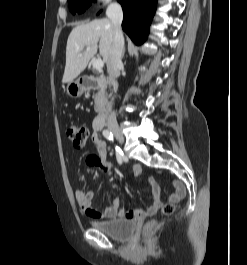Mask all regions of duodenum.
<instances>
[{"label":"duodenum","mask_w":247,"mask_h":265,"mask_svg":"<svg viewBox=\"0 0 247 265\" xmlns=\"http://www.w3.org/2000/svg\"><path fill=\"white\" fill-rule=\"evenodd\" d=\"M99 82L109 83L111 82V78L107 75H104V76H98V77L84 76L81 79V85L85 88L93 87L97 85ZM110 109H111L110 102L103 104L102 107L100 108L97 116L94 118V121H93V127L96 131H100V129L103 127L104 122L110 112Z\"/></svg>","instance_id":"1"}]
</instances>
